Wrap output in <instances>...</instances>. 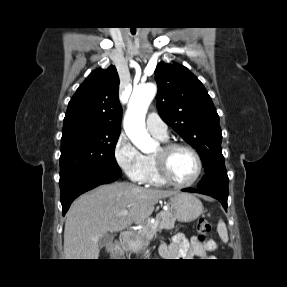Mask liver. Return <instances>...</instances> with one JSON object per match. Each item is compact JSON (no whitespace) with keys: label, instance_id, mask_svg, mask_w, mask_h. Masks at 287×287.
I'll return each instance as SVG.
<instances>
[{"label":"liver","instance_id":"1","mask_svg":"<svg viewBox=\"0 0 287 287\" xmlns=\"http://www.w3.org/2000/svg\"><path fill=\"white\" fill-rule=\"evenodd\" d=\"M176 193L117 182L82 195L66 214L65 259H98L99 240L108 231L119 232L133 223L145 222L158 200ZM124 210L128 215L119 217Z\"/></svg>","mask_w":287,"mask_h":287}]
</instances>
